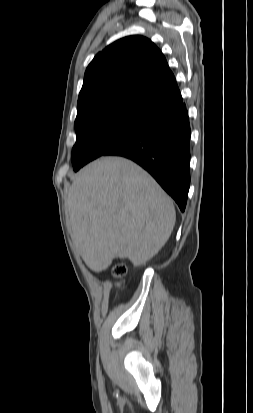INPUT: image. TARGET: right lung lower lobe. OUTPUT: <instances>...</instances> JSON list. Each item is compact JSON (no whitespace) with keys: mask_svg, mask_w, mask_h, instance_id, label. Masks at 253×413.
Segmentation results:
<instances>
[{"mask_svg":"<svg viewBox=\"0 0 253 413\" xmlns=\"http://www.w3.org/2000/svg\"><path fill=\"white\" fill-rule=\"evenodd\" d=\"M104 155L133 160L147 170L183 212L190 186V124L186 105L153 114L139 132Z\"/></svg>","mask_w":253,"mask_h":413,"instance_id":"obj_1","label":"right lung lower lobe"}]
</instances>
